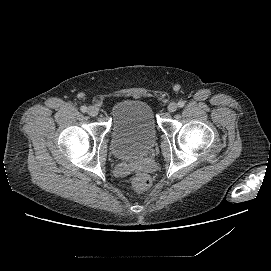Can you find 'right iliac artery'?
I'll use <instances>...</instances> for the list:
<instances>
[{"instance_id":"obj_1","label":"right iliac artery","mask_w":271,"mask_h":271,"mask_svg":"<svg viewBox=\"0 0 271 271\" xmlns=\"http://www.w3.org/2000/svg\"><path fill=\"white\" fill-rule=\"evenodd\" d=\"M81 111H82V112H86V111H87V107H86V106H82V107H81Z\"/></svg>"}]
</instances>
